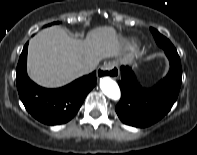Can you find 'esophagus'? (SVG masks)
<instances>
[{"instance_id":"obj_1","label":"esophagus","mask_w":197,"mask_h":155,"mask_svg":"<svg viewBox=\"0 0 197 155\" xmlns=\"http://www.w3.org/2000/svg\"><path fill=\"white\" fill-rule=\"evenodd\" d=\"M97 75L99 77H110L116 79L119 76V68L115 62H104L98 69Z\"/></svg>"}]
</instances>
